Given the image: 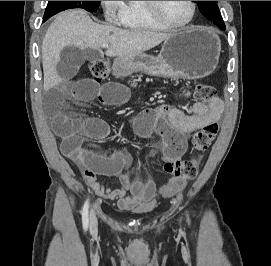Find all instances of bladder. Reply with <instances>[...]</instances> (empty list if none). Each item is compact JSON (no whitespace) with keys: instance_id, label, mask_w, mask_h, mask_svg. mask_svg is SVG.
Wrapping results in <instances>:
<instances>
[{"instance_id":"obj_1","label":"bladder","mask_w":271,"mask_h":266,"mask_svg":"<svg viewBox=\"0 0 271 266\" xmlns=\"http://www.w3.org/2000/svg\"><path fill=\"white\" fill-rule=\"evenodd\" d=\"M137 213H139V214H144L145 212H144L143 209H139V210H137Z\"/></svg>"}]
</instances>
